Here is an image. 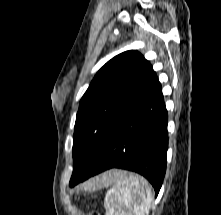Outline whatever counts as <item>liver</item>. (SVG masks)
<instances>
[{
  "instance_id": "obj_1",
  "label": "liver",
  "mask_w": 221,
  "mask_h": 215,
  "mask_svg": "<svg viewBox=\"0 0 221 215\" xmlns=\"http://www.w3.org/2000/svg\"><path fill=\"white\" fill-rule=\"evenodd\" d=\"M114 172H107L98 177H95L89 180L87 183H85L84 187L85 188H98L101 186H106L111 182Z\"/></svg>"
}]
</instances>
